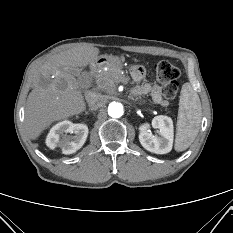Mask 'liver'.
<instances>
[{
  "label": "liver",
  "instance_id": "obj_1",
  "mask_svg": "<svg viewBox=\"0 0 233 233\" xmlns=\"http://www.w3.org/2000/svg\"><path fill=\"white\" fill-rule=\"evenodd\" d=\"M98 54L99 49L92 44L78 45L52 55L36 70L25 109V129L31 139L53 122L86 109L77 75L72 71L91 64Z\"/></svg>",
  "mask_w": 233,
  "mask_h": 233
}]
</instances>
